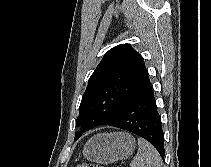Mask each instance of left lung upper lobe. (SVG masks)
Segmentation results:
<instances>
[{"mask_svg":"<svg viewBox=\"0 0 211 167\" xmlns=\"http://www.w3.org/2000/svg\"><path fill=\"white\" fill-rule=\"evenodd\" d=\"M150 84L143 57L130 47L120 44L102 58L88 81L82 97L76 133L107 123L133 96Z\"/></svg>","mask_w":211,"mask_h":167,"instance_id":"left-lung-upper-lobe-1","label":"left lung upper lobe"}]
</instances>
